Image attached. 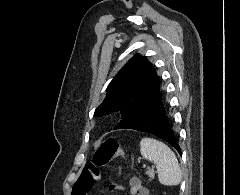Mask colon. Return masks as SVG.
Here are the masks:
<instances>
[{"instance_id": "obj_1", "label": "colon", "mask_w": 240, "mask_h": 195, "mask_svg": "<svg viewBox=\"0 0 240 195\" xmlns=\"http://www.w3.org/2000/svg\"><path fill=\"white\" fill-rule=\"evenodd\" d=\"M120 152V144L113 137L106 138L104 142L97 147L94 155V160L99 166H104L109 163ZM88 181L94 182L98 178V171L91 166H88L85 171ZM91 190L90 186H74L72 195H88Z\"/></svg>"}]
</instances>
